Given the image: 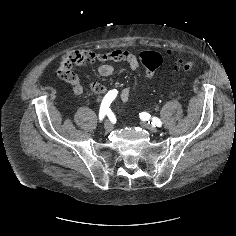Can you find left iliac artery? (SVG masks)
Wrapping results in <instances>:
<instances>
[{
  "label": "left iliac artery",
  "instance_id": "left-iliac-artery-1",
  "mask_svg": "<svg viewBox=\"0 0 236 236\" xmlns=\"http://www.w3.org/2000/svg\"><path fill=\"white\" fill-rule=\"evenodd\" d=\"M140 117L142 118V119H145V118H147L148 117V114L147 113H141L140 114ZM154 126H157V127H161L162 126V122H161V120L159 119V118H157V117H154L153 118V123H152Z\"/></svg>",
  "mask_w": 236,
  "mask_h": 236
}]
</instances>
